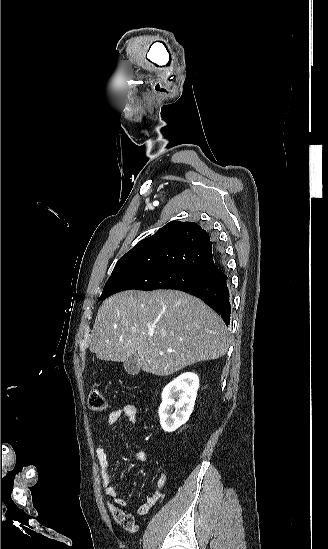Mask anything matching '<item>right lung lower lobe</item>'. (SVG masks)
<instances>
[{"label": "right lung lower lobe", "instance_id": "obj_1", "mask_svg": "<svg viewBox=\"0 0 328 549\" xmlns=\"http://www.w3.org/2000/svg\"><path fill=\"white\" fill-rule=\"evenodd\" d=\"M217 248V253L222 262V254L218 249L217 242L214 241ZM222 264V263H221ZM221 273L215 278H207L196 284L186 286L180 290L195 295L203 299L215 312H217L225 324H230V295L229 281L225 273L223 265H221Z\"/></svg>", "mask_w": 328, "mask_h": 549}]
</instances>
